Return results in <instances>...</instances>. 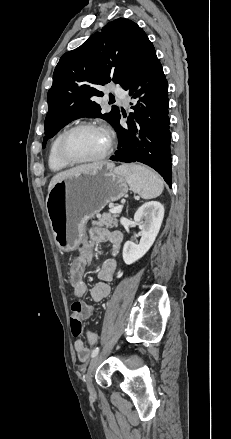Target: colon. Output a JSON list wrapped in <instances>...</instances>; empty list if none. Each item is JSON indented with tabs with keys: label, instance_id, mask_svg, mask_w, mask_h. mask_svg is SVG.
<instances>
[{
	"label": "colon",
	"instance_id": "1",
	"mask_svg": "<svg viewBox=\"0 0 231 439\" xmlns=\"http://www.w3.org/2000/svg\"><path fill=\"white\" fill-rule=\"evenodd\" d=\"M86 274V267L83 266L80 260L75 259L72 261L71 266L69 267V282L73 287L75 283H87L86 279H83ZM71 332L74 337H79L82 335L83 326L82 322L77 314H72L70 319Z\"/></svg>",
	"mask_w": 231,
	"mask_h": 439
}]
</instances>
